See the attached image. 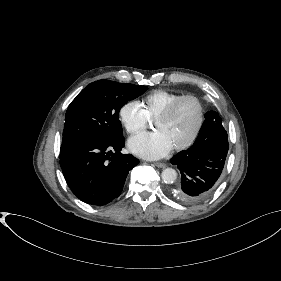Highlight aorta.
I'll return each mask as SVG.
<instances>
[{
    "instance_id": "obj_1",
    "label": "aorta",
    "mask_w": 281,
    "mask_h": 281,
    "mask_svg": "<svg viewBox=\"0 0 281 281\" xmlns=\"http://www.w3.org/2000/svg\"><path fill=\"white\" fill-rule=\"evenodd\" d=\"M162 180L167 184H172L177 179V172L173 168H166L161 173Z\"/></svg>"
}]
</instances>
